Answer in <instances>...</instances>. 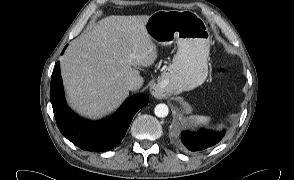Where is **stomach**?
<instances>
[{
    "mask_svg": "<svg viewBox=\"0 0 294 180\" xmlns=\"http://www.w3.org/2000/svg\"><path fill=\"white\" fill-rule=\"evenodd\" d=\"M148 35L159 45L177 43L172 64L157 86L166 94H179L201 85L208 75L210 32L206 22L190 11H156L145 24Z\"/></svg>",
    "mask_w": 294,
    "mask_h": 180,
    "instance_id": "1",
    "label": "stomach"
}]
</instances>
